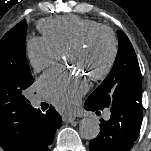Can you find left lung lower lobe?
I'll use <instances>...</instances> for the list:
<instances>
[{"label":"left lung lower lobe","instance_id":"obj_1","mask_svg":"<svg viewBox=\"0 0 151 151\" xmlns=\"http://www.w3.org/2000/svg\"><path fill=\"white\" fill-rule=\"evenodd\" d=\"M141 88L133 89L128 100L121 106H112L108 121L100 120V133L89 143L90 151H129L137 139L142 123ZM85 109L95 111L90 103Z\"/></svg>","mask_w":151,"mask_h":151}]
</instances>
